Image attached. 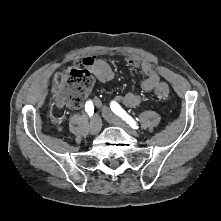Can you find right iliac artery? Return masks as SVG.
Here are the masks:
<instances>
[{
  "mask_svg": "<svg viewBox=\"0 0 221 221\" xmlns=\"http://www.w3.org/2000/svg\"><path fill=\"white\" fill-rule=\"evenodd\" d=\"M85 111L91 117L94 114V105L92 101H87L85 104Z\"/></svg>",
  "mask_w": 221,
  "mask_h": 221,
  "instance_id": "right-iliac-artery-1",
  "label": "right iliac artery"
}]
</instances>
